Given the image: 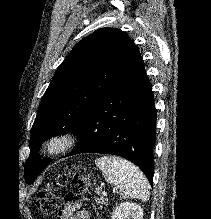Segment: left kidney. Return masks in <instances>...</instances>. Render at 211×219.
Instances as JSON below:
<instances>
[{
    "label": "left kidney",
    "instance_id": "left-kidney-1",
    "mask_svg": "<svg viewBox=\"0 0 211 219\" xmlns=\"http://www.w3.org/2000/svg\"><path fill=\"white\" fill-rule=\"evenodd\" d=\"M112 219H143V210L138 204L124 202L115 208Z\"/></svg>",
    "mask_w": 211,
    "mask_h": 219
}]
</instances>
